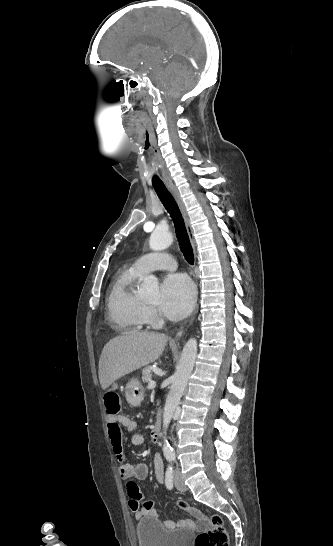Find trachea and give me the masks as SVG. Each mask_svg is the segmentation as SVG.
<instances>
[{
  "label": "trachea",
  "mask_w": 333,
  "mask_h": 546,
  "mask_svg": "<svg viewBox=\"0 0 333 546\" xmlns=\"http://www.w3.org/2000/svg\"><path fill=\"white\" fill-rule=\"evenodd\" d=\"M154 177H157V175L155 174ZM153 187L159 199L163 203L164 207L166 208V210L168 211V213L170 214L174 222L180 249L186 261L190 265H193L194 264L193 249L189 241L184 219L182 217L181 211L175 199L173 198V196L171 195V193L168 191V189L166 188L164 184H153Z\"/></svg>",
  "instance_id": "3493384b"
}]
</instances>
